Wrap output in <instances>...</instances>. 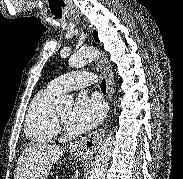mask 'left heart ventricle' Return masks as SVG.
Here are the masks:
<instances>
[{"mask_svg": "<svg viewBox=\"0 0 183 179\" xmlns=\"http://www.w3.org/2000/svg\"><path fill=\"white\" fill-rule=\"evenodd\" d=\"M71 114V108H65L63 110L58 111L59 117L64 121L67 122L69 116Z\"/></svg>", "mask_w": 183, "mask_h": 179, "instance_id": "b2bd125f", "label": "left heart ventricle"}]
</instances>
